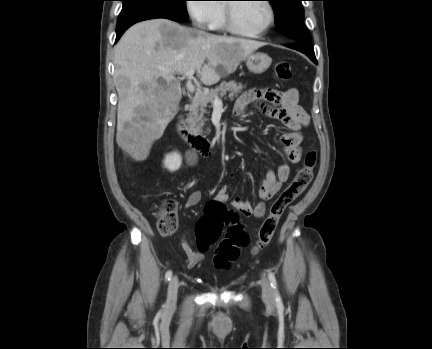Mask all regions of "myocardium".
I'll return each mask as SVG.
<instances>
[{"mask_svg":"<svg viewBox=\"0 0 432 349\" xmlns=\"http://www.w3.org/2000/svg\"><path fill=\"white\" fill-rule=\"evenodd\" d=\"M266 4L269 10V20L266 24V26L259 31L256 32H248L240 29L234 19V5L235 2H226L225 4V26L228 31L235 35L243 36V37H249V38H260L265 36L269 30L272 28V26L275 23L276 20V12L273 3L270 0H262Z\"/></svg>","mask_w":432,"mask_h":349,"instance_id":"obj_1","label":"myocardium"}]
</instances>
